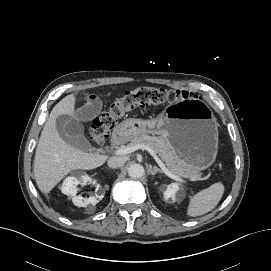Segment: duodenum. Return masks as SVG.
Wrapping results in <instances>:
<instances>
[{
	"mask_svg": "<svg viewBox=\"0 0 271 271\" xmlns=\"http://www.w3.org/2000/svg\"><path fill=\"white\" fill-rule=\"evenodd\" d=\"M125 136H126V130L122 128H117L111 136V141L114 144H118L124 140Z\"/></svg>",
	"mask_w": 271,
	"mask_h": 271,
	"instance_id": "obj_1",
	"label": "duodenum"
}]
</instances>
